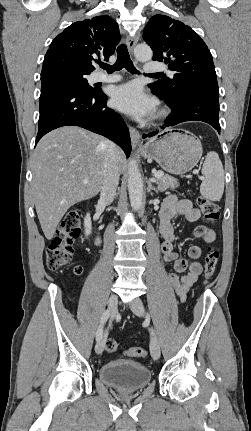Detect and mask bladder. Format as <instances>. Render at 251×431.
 <instances>
[{
	"instance_id": "obj_1",
	"label": "bladder",
	"mask_w": 251,
	"mask_h": 431,
	"mask_svg": "<svg viewBox=\"0 0 251 431\" xmlns=\"http://www.w3.org/2000/svg\"><path fill=\"white\" fill-rule=\"evenodd\" d=\"M99 378L120 392H132L145 387L151 380L150 371L131 360H111L98 371Z\"/></svg>"
}]
</instances>
